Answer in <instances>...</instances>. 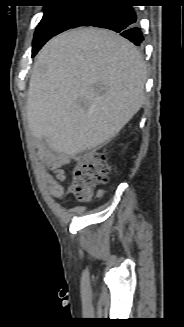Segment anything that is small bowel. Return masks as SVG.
<instances>
[{
	"label": "small bowel",
	"instance_id": "small-bowel-1",
	"mask_svg": "<svg viewBox=\"0 0 184 327\" xmlns=\"http://www.w3.org/2000/svg\"><path fill=\"white\" fill-rule=\"evenodd\" d=\"M38 154L42 162L46 164L47 168L52 173H49L45 169H41L42 175L51 186L49 190L50 195L57 199L62 198L65 194V187L62 183L66 179L63 167L71 164V156L44 149L40 150Z\"/></svg>",
	"mask_w": 184,
	"mask_h": 327
}]
</instances>
